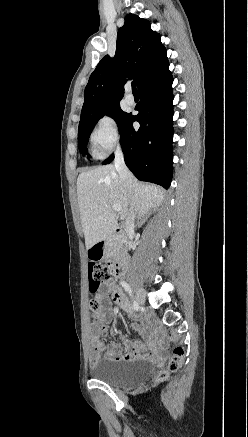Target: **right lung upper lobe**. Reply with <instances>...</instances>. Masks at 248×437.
<instances>
[{
    "label": "right lung upper lobe",
    "instance_id": "right-lung-upper-lobe-1",
    "mask_svg": "<svg viewBox=\"0 0 248 437\" xmlns=\"http://www.w3.org/2000/svg\"><path fill=\"white\" fill-rule=\"evenodd\" d=\"M166 60V49L150 22L128 14L118 30L114 58L104 56L89 78L80 122L118 106L126 77L136 80L139 87Z\"/></svg>",
    "mask_w": 248,
    "mask_h": 437
}]
</instances>
